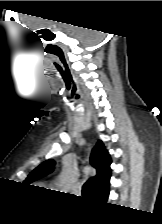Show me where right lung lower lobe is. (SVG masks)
Listing matches in <instances>:
<instances>
[{"instance_id":"right-lung-lower-lobe-1","label":"right lung lower lobe","mask_w":162,"mask_h":224,"mask_svg":"<svg viewBox=\"0 0 162 224\" xmlns=\"http://www.w3.org/2000/svg\"><path fill=\"white\" fill-rule=\"evenodd\" d=\"M108 195H109V191L106 194L100 196L98 199H100L102 201H106L108 199Z\"/></svg>"}]
</instances>
